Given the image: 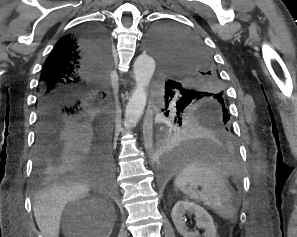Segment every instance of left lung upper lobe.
<instances>
[{
    "mask_svg": "<svg viewBox=\"0 0 297 237\" xmlns=\"http://www.w3.org/2000/svg\"><path fill=\"white\" fill-rule=\"evenodd\" d=\"M148 43L168 77L165 86L179 91L189 109L204 107L230 119L221 78L198 36L164 24L150 31Z\"/></svg>",
    "mask_w": 297,
    "mask_h": 237,
    "instance_id": "5c2ea615",
    "label": "left lung upper lobe"
}]
</instances>
